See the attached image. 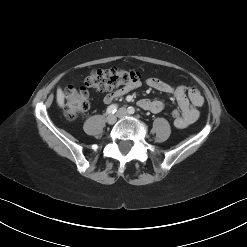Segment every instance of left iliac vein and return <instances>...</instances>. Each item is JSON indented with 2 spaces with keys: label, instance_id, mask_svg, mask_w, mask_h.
Masks as SVG:
<instances>
[{
  "label": "left iliac vein",
  "instance_id": "4c4485c4",
  "mask_svg": "<svg viewBox=\"0 0 247 247\" xmlns=\"http://www.w3.org/2000/svg\"><path fill=\"white\" fill-rule=\"evenodd\" d=\"M126 115H127L126 109L125 108H120L118 113H117V116L119 118H122V117H125Z\"/></svg>",
  "mask_w": 247,
  "mask_h": 247
}]
</instances>
